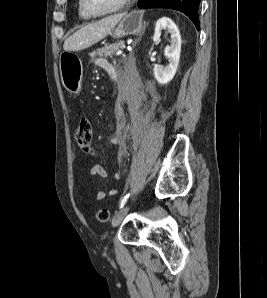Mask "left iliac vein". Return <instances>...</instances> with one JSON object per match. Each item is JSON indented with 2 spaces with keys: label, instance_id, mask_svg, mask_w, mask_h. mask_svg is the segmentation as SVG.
<instances>
[{
  "label": "left iliac vein",
  "instance_id": "left-iliac-vein-1",
  "mask_svg": "<svg viewBox=\"0 0 267 298\" xmlns=\"http://www.w3.org/2000/svg\"><path fill=\"white\" fill-rule=\"evenodd\" d=\"M130 207L129 206H125L123 208H121L113 217L112 219V226L113 227H117L122 220L124 219V217L126 216V214L128 213Z\"/></svg>",
  "mask_w": 267,
  "mask_h": 298
}]
</instances>
